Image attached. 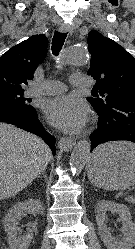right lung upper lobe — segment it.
Returning <instances> with one entry per match:
<instances>
[{"label": "right lung upper lobe", "instance_id": "right-lung-upper-lobe-1", "mask_svg": "<svg viewBox=\"0 0 135 249\" xmlns=\"http://www.w3.org/2000/svg\"><path fill=\"white\" fill-rule=\"evenodd\" d=\"M48 39L33 35L0 57V91H24L37 66L46 57Z\"/></svg>", "mask_w": 135, "mask_h": 249}]
</instances>
